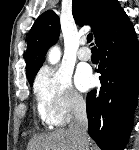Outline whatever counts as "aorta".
<instances>
[{
    "mask_svg": "<svg viewBox=\"0 0 139 150\" xmlns=\"http://www.w3.org/2000/svg\"><path fill=\"white\" fill-rule=\"evenodd\" d=\"M48 59L51 64H55L59 61L60 49L57 46L50 49Z\"/></svg>",
    "mask_w": 139,
    "mask_h": 150,
    "instance_id": "obj_1",
    "label": "aorta"
}]
</instances>
